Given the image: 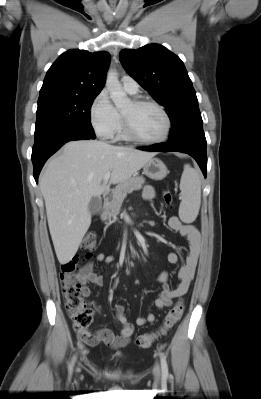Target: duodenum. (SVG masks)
Wrapping results in <instances>:
<instances>
[{"label": "duodenum", "mask_w": 261, "mask_h": 399, "mask_svg": "<svg viewBox=\"0 0 261 399\" xmlns=\"http://www.w3.org/2000/svg\"><path fill=\"white\" fill-rule=\"evenodd\" d=\"M110 200V195L109 194H105L103 196V206H107Z\"/></svg>", "instance_id": "duodenum-1"}]
</instances>
